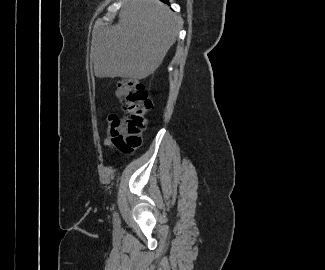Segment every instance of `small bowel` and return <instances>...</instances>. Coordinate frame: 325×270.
<instances>
[{
  "label": "small bowel",
  "instance_id": "small-bowel-1",
  "mask_svg": "<svg viewBox=\"0 0 325 270\" xmlns=\"http://www.w3.org/2000/svg\"><path fill=\"white\" fill-rule=\"evenodd\" d=\"M115 119H117V115H115V114H111L108 117V137L105 140L106 145L113 144L112 137H111V123H113Z\"/></svg>",
  "mask_w": 325,
  "mask_h": 270
}]
</instances>
